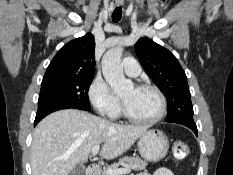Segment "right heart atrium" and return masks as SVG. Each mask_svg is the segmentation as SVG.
I'll return each instance as SVG.
<instances>
[{"label":"right heart atrium","mask_w":233,"mask_h":175,"mask_svg":"<svg viewBox=\"0 0 233 175\" xmlns=\"http://www.w3.org/2000/svg\"><path fill=\"white\" fill-rule=\"evenodd\" d=\"M88 99L95 111L104 116H114L120 106L119 98L113 94L107 82L100 76L91 81Z\"/></svg>","instance_id":"1"}]
</instances>
